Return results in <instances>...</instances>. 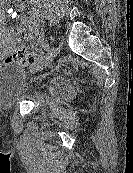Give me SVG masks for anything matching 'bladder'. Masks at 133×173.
<instances>
[{"label":"bladder","mask_w":133,"mask_h":173,"mask_svg":"<svg viewBox=\"0 0 133 173\" xmlns=\"http://www.w3.org/2000/svg\"><path fill=\"white\" fill-rule=\"evenodd\" d=\"M68 87L65 82L56 80L50 86L55 95H65ZM34 90L28 83L24 69L18 65L0 68V104H11L24 97H33Z\"/></svg>","instance_id":"obj_1"}]
</instances>
